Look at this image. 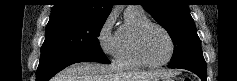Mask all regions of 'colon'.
<instances>
[{"instance_id":"obj_1","label":"colon","mask_w":237,"mask_h":81,"mask_svg":"<svg viewBox=\"0 0 237 81\" xmlns=\"http://www.w3.org/2000/svg\"><path fill=\"white\" fill-rule=\"evenodd\" d=\"M183 81H191V79L189 77H186L183 79Z\"/></svg>"}]
</instances>
